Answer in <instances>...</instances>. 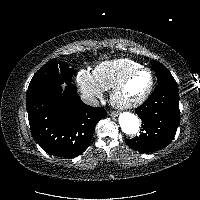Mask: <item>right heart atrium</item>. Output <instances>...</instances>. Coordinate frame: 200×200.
<instances>
[{
  "instance_id": "right-heart-atrium-1",
  "label": "right heart atrium",
  "mask_w": 200,
  "mask_h": 200,
  "mask_svg": "<svg viewBox=\"0 0 200 200\" xmlns=\"http://www.w3.org/2000/svg\"><path fill=\"white\" fill-rule=\"evenodd\" d=\"M76 82L81 93L89 102L94 103L104 96L105 89L96 80L93 71L88 69L79 70Z\"/></svg>"
}]
</instances>
